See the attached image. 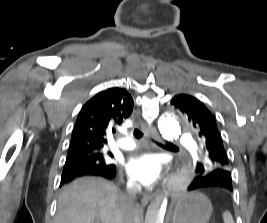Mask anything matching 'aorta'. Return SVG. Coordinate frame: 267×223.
Returning <instances> with one entry per match:
<instances>
[{"instance_id": "762f6f07", "label": "aorta", "mask_w": 267, "mask_h": 223, "mask_svg": "<svg viewBox=\"0 0 267 223\" xmlns=\"http://www.w3.org/2000/svg\"><path fill=\"white\" fill-rule=\"evenodd\" d=\"M158 127L166 139H177L181 135L179 118L174 114L163 116L158 122ZM167 204L168 200L163 196L153 199L147 209L145 223H163Z\"/></svg>"}]
</instances>
